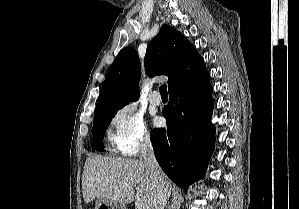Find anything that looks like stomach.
Returning <instances> with one entry per match:
<instances>
[{
  "mask_svg": "<svg viewBox=\"0 0 299 209\" xmlns=\"http://www.w3.org/2000/svg\"><path fill=\"white\" fill-rule=\"evenodd\" d=\"M94 209H124V207L120 204L112 203L107 200L97 198L95 200Z\"/></svg>",
  "mask_w": 299,
  "mask_h": 209,
  "instance_id": "stomach-1",
  "label": "stomach"
}]
</instances>
